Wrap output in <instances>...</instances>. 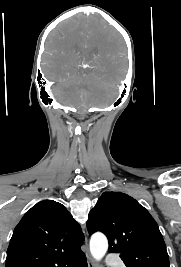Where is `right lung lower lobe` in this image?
I'll use <instances>...</instances> for the list:
<instances>
[{
    "label": "right lung lower lobe",
    "mask_w": 181,
    "mask_h": 267,
    "mask_svg": "<svg viewBox=\"0 0 181 267\" xmlns=\"http://www.w3.org/2000/svg\"><path fill=\"white\" fill-rule=\"evenodd\" d=\"M60 267H88L85 254L79 253L74 257L68 259Z\"/></svg>",
    "instance_id": "right-lung-lower-lobe-1"
}]
</instances>
